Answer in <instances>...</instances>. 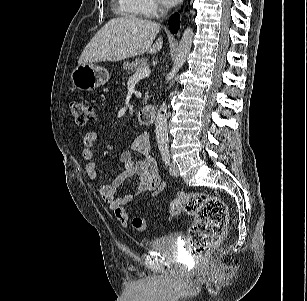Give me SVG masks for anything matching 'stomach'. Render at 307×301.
Listing matches in <instances>:
<instances>
[{
    "instance_id": "obj_1",
    "label": "stomach",
    "mask_w": 307,
    "mask_h": 301,
    "mask_svg": "<svg viewBox=\"0 0 307 301\" xmlns=\"http://www.w3.org/2000/svg\"><path fill=\"white\" fill-rule=\"evenodd\" d=\"M110 78L109 72L94 63L78 65L71 74L75 88L81 91H93L104 85Z\"/></svg>"
}]
</instances>
